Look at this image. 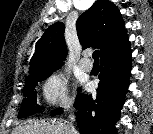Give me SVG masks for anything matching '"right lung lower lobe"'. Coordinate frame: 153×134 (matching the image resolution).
Instances as JSON below:
<instances>
[{
    "label": "right lung lower lobe",
    "instance_id": "1",
    "mask_svg": "<svg viewBox=\"0 0 153 134\" xmlns=\"http://www.w3.org/2000/svg\"><path fill=\"white\" fill-rule=\"evenodd\" d=\"M131 48L126 41L101 56L97 95L78 93L74 106L80 134H116L115 124L125 101L131 72ZM54 115L61 114L56 110Z\"/></svg>",
    "mask_w": 153,
    "mask_h": 134
}]
</instances>
